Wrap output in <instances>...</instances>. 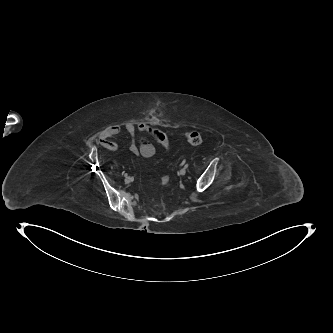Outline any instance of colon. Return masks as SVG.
I'll return each mask as SVG.
<instances>
[{
    "mask_svg": "<svg viewBox=\"0 0 333 333\" xmlns=\"http://www.w3.org/2000/svg\"><path fill=\"white\" fill-rule=\"evenodd\" d=\"M185 139L192 145L198 146L202 143V137L198 132H188L185 134ZM169 182L167 176L161 177V184L166 185Z\"/></svg>",
    "mask_w": 333,
    "mask_h": 333,
    "instance_id": "colon-1",
    "label": "colon"
}]
</instances>
